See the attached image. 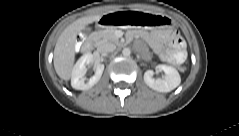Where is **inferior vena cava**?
<instances>
[{
	"label": "inferior vena cava",
	"mask_w": 239,
	"mask_h": 136,
	"mask_svg": "<svg viewBox=\"0 0 239 136\" xmlns=\"http://www.w3.org/2000/svg\"><path fill=\"white\" fill-rule=\"evenodd\" d=\"M115 49L116 45L110 42H104L100 44L97 48L100 53H110L113 52Z\"/></svg>",
	"instance_id": "1"
}]
</instances>
